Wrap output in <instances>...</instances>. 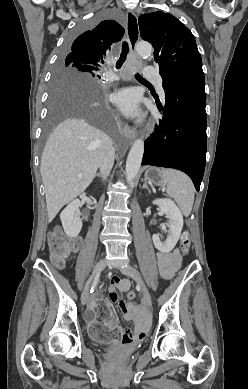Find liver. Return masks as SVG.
<instances>
[{
    "instance_id": "obj_1",
    "label": "liver",
    "mask_w": 248,
    "mask_h": 389,
    "mask_svg": "<svg viewBox=\"0 0 248 389\" xmlns=\"http://www.w3.org/2000/svg\"><path fill=\"white\" fill-rule=\"evenodd\" d=\"M111 146L109 136L82 119H67L53 130L40 165L49 222L91 184Z\"/></svg>"
}]
</instances>
